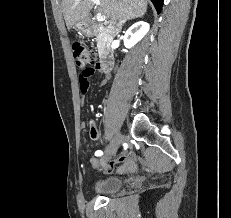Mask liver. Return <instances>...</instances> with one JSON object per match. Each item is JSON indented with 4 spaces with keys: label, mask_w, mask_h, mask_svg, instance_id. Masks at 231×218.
<instances>
[{
    "label": "liver",
    "mask_w": 231,
    "mask_h": 218,
    "mask_svg": "<svg viewBox=\"0 0 231 218\" xmlns=\"http://www.w3.org/2000/svg\"><path fill=\"white\" fill-rule=\"evenodd\" d=\"M100 1L99 12L105 15L106 23L112 31L120 30V22L142 17L147 11L146 0ZM61 5L66 26L71 29L75 23L88 16L94 3L92 0H62Z\"/></svg>",
    "instance_id": "1"
}]
</instances>
